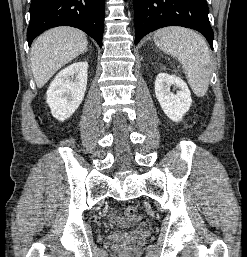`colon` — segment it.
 <instances>
[{"label":"colon","mask_w":247,"mask_h":257,"mask_svg":"<svg viewBox=\"0 0 247 257\" xmlns=\"http://www.w3.org/2000/svg\"><path fill=\"white\" fill-rule=\"evenodd\" d=\"M124 214L128 219L133 220L137 217V209L132 205L127 206L124 210Z\"/></svg>","instance_id":"5ec220e1"}]
</instances>
